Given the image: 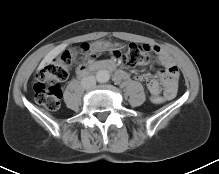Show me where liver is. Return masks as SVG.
Returning <instances> with one entry per match:
<instances>
[{
    "label": "liver",
    "mask_w": 219,
    "mask_h": 174,
    "mask_svg": "<svg viewBox=\"0 0 219 174\" xmlns=\"http://www.w3.org/2000/svg\"><path fill=\"white\" fill-rule=\"evenodd\" d=\"M66 45H60L55 47L53 50H51L46 56L45 58L42 60V62L39 65V68H42L45 66L46 63L50 62L52 60L53 57L57 56L58 54H60L64 49H65Z\"/></svg>",
    "instance_id": "6515ba94"
}]
</instances>
